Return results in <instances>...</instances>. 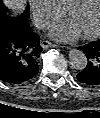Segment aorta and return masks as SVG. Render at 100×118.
Listing matches in <instances>:
<instances>
[{"label":"aorta","instance_id":"762f6f07","mask_svg":"<svg viewBox=\"0 0 100 118\" xmlns=\"http://www.w3.org/2000/svg\"><path fill=\"white\" fill-rule=\"evenodd\" d=\"M69 62L72 68L83 70L87 65V58L83 51L72 49L69 52Z\"/></svg>","mask_w":100,"mask_h":118}]
</instances>
